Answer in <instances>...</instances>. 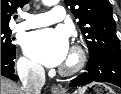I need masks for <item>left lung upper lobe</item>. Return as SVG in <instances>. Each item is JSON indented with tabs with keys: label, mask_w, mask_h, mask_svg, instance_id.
<instances>
[{
	"label": "left lung upper lobe",
	"mask_w": 121,
	"mask_h": 94,
	"mask_svg": "<svg viewBox=\"0 0 121 94\" xmlns=\"http://www.w3.org/2000/svg\"><path fill=\"white\" fill-rule=\"evenodd\" d=\"M85 35L89 56L121 54L109 0H64Z\"/></svg>",
	"instance_id": "5c2ea615"
}]
</instances>
